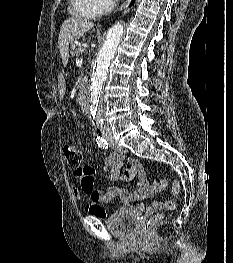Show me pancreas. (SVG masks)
<instances>
[{
	"label": "pancreas",
	"instance_id": "1",
	"mask_svg": "<svg viewBox=\"0 0 233 263\" xmlns=\"http://www.w3.org/2000/svg\"><path fill=\"white\" fill-rule=\"evenodd\" d=\"M83 52V49L75 43H71V54L79 55Z\"/></svg>",
	"mask_w": 233,
	"mask_h": 263
}]
</instances>
